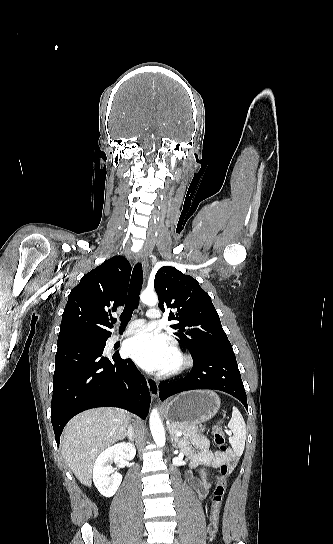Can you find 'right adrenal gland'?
<instances>
[{
  "label": "right adrenal gland",
  "instance_id": "right-adrenal-gland-1",
  "mask_svg": "<svg viewBox=\"0 0 333 544\" xmlns=\"http://www.w3.org/2000/svg\"><path fill=\"white\" fill-rule=\"evenodd\" d=\"M126 437L130 442L134 443L135 436H134L133 428L131 426H128L127 432L125 433L123 438H126Z\"/></svg>",
  "mask_w": 333,
  "mask_h": 544
}]
</instances>
